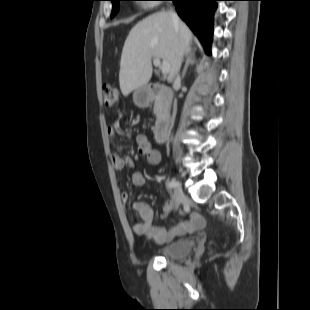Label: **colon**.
<instances>
[{"label":"colon","mask_w":310,"mask_h":310,"mask_svg":"<svg viewBox=\"0 0 310 310\" xmlns=\"http://www.w3.org/2000/svg\"><path fill=\"white\" fill-rule=\"evenodd\" d=\"M118 98V91L111 85H104L102 90V102L104 106L110 108L115 105Z\"/></svg>","instance_id":"colon-1"}]
</instances>
